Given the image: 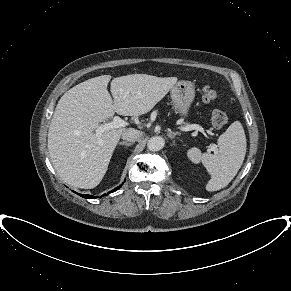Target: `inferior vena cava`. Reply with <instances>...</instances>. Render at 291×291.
Wrapping results in <instances>:
<instances>
[{
	"label": "inferior vena cava",
	"mask_w": 291,
	"mask_h": 291,
	"mask_svg": "<svg viewBox=\"0 0 291 291\" xmlns=\"http://www.w3.org/2000/svg\"><path fill=\"white\" fill-rule=\"evenodd\" d=\"M142 137V132L133 128L127 129L122 133V139L135 142L138 141Z\"/></svg>",
	"instance_id": "inferior-vena-cava-1"
}]
</instances>
